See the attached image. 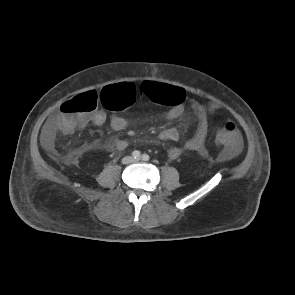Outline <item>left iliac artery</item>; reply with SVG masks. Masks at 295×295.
<instances>
[{
	"label": "left iliac artery",
	"instance_id": "left-iliac-artery-1",
	"mask_svg": "<svg viewBox=\"0 0 295 295\" xmlns=\"http://www.w3.org/2000/svg\"><path fill=\"white\" fill-rule=\"evenodd\" d=\"M150 159L149 155L148 154H143L142 155V160L143 161H148Z\"/></svg>",
	"mask_w": 295,
	"mask_h": 295
}]
</instances>
